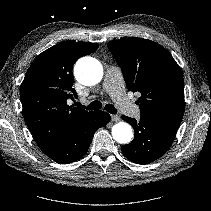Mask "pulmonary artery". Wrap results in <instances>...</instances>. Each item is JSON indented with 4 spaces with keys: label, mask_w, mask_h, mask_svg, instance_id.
<instances>
[{
    "label": "pulmonary artery",
    "mask_w": 211,
    "mask_h": 211,
    "mask_svg": "<svg viewBox=\"0 0 211 211\" xmlns=\"http://www.w3.org/2000/svg\"><path fill=\"white\" fill-rule=\"evenodd\" d=\"M103 86L125 114L134 117L140 115V109L126 96L122 73L117 66H110L107 69Z\"/></svg>",
    "instance_id": "e3ab8cb5"
}]
</instances>
